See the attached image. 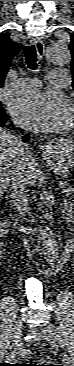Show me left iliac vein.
I'll use <instances>...</instances> for the list:
<instances>
[{"instance_id":"4c4485c4","label":"left iliac vein","mask_w":74,"mask_h":366,"mask_svg":"<svg viewBox=\"0 0 74 366\" xmlns=\"http://www.w3.org/2000/svg\"><path fill=\"white\" fill-rule=\"evenodd\" d=\"M41 331L44 333V335L46 336V339L48 340H52L51 344L58 348V344L57 342H59V337L57 336V332L54 329V327L52 326H44L41 328ZM60 343V342H59ZM64 361L67 364V366H73V361L72 359L68 356V355H64Z\"/></svg>"}]
</instances>
